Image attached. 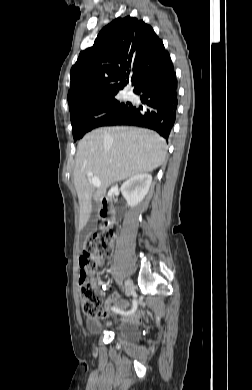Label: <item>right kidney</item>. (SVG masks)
Returning <instances> with one entry per match:
<instances>
[{
  "instance_id": "obj_1",
  "label": "right kidney",
  "mask_w": 252,
  "mask_h": 390,
  "mask_svg": "<svg viewBox=\"0 0 252 390\" xmlns=\"http://www.w3.org/2000/svg\"><path fill=\"white\" fill-rule=\"evenodd\" d=\"M152 182V176L148 173L137 174L121 186V193L130 207L138 205L147 195Z\"/></svg>"
}]
</instances>
